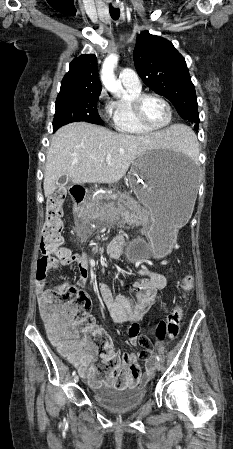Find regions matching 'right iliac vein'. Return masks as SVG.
I'll return each mask as SVG.
<instances>
[{
  "instance_id": "1",
  "label": "right iliac vein",
  "mask_w": 233,
  "mask_h": 449,
  "mask_svg": "<svg viewBox=\"0 0 233 449\" xmlns=\"http://www.w3.org/2000/svg\"><path fill=\"white\" fill-rule=\"evenodd\" d=\"M73 381H74L75 383H78V381H79V376H78V375H75L74 378H73Z\"/></svg>"
}]
</instances>
